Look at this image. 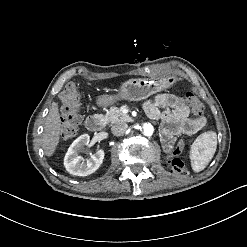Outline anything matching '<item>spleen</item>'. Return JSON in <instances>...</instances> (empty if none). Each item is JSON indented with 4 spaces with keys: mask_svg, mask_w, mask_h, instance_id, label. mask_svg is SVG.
Returning a JSON list of instances; mask_svg holds the SVG:
<instances>
[{
    "mask_svg": "<svg viewBox=\"0 0 247 247\" xmlns=\"http://www.w3.org/2000/svg\"><path fill=\"white\" fill-rule=\"evenodd\" d=\"M204 144L203 150H200L198 143ZM217 144V133L209 130L199 136L192 150L189 152V159L192 170L195 173L201 172L209 163L212 158V152L215 150Z\"/></svg>",
    "mask_w": 247,
    "mask_h": 247,
    "instance_id": "spleen-1",
    "label": "spleen"
}]
</instances>
